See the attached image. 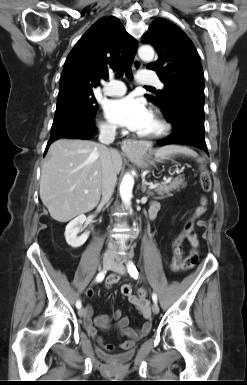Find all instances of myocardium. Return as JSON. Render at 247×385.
I'll return each mask as SVG.
<instances>
[{"label": "myocardium", "instance_id": "f54148a6", "mask_svg": "<svg viewBox=\"0 0 247 385\" xmlns=\"http://www.w3.org/2000/svg\"><path fill=\"white\" fill-rule=\"evenodd\" d=\"M152 116L156 119V121H157V123L159 125L158 130L153 132V133H150V134H138V136L140 138L153 140V139L162 138V137L166 136L170 132L171 125L165 119V117L161 114L160 111L153 110L152 111Z\"/></svg>", "mask_w": 247, "mask_h": 385}]
</instances>
